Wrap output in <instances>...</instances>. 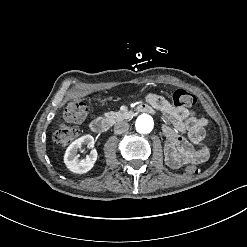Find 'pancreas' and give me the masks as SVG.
Returning a JSON list of instances; mask_svg holds the SVG:
<instances>
[{
    "label": "pancreas",
    "instance_id": "1",
    "mask_svg": "<svg viewBox=\"0 0 247 247\" xmlns=\"http://www.w3.org/2000/svg\"><path fill=\"white\" fill-rule=\"evenodd\" d=\"M104 116L109 122H118L120 120H123L124 118H129L131 114L111 111L105 113Z\"/></svg>",
    "mask_w": 247,
    "mask_h": 247
}]
</instances>
